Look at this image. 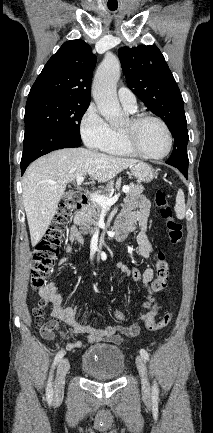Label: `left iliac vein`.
<instances>
[{
	"label": "left iliac vein",
	"mask_w": 213,
	"mask_h": 433,
	"mask_svg": "<svg viewBox=\"0 0 213 433\" xmlns=\"http://www.w3.org/2000/svg\"><path fill=\"white\" fill-rule=\"evenodd\" d=\"M136 366L141 377L142 393L145 397L150 396V385L147 376L146 361L142 356L136 357Z\"/></svg>",
	"instance_id": "left-iliac-vein-1"
}]
</instances>
